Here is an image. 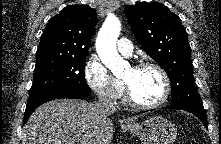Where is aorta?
Returning a JSON list of instances; mask_svg holds the SVG:
<instances>
[{"label":"aorta","instance_id":"obj_1","mask_svg":"<svg viewBox=\"0 0 221 144\" xmlns=\"http://www.w3.org/2000/svg\"><path fill=\"white\" fill-rule=\"evenodd\" d=\"M121 31V22L115 16H109L99 30L96 39V51L103 64L113 75L120 77L129 68V63L118 54L116 41Z\"/></svg>","mask_w":221,"mask_h":144}]
</instances>
